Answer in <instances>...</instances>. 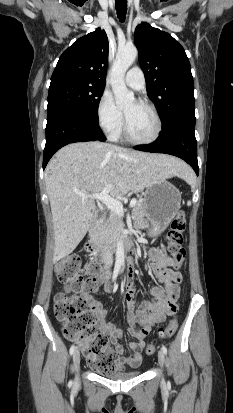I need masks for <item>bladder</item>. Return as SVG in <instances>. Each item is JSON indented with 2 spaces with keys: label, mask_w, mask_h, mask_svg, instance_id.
<instances>
[{
  "label": "bladder",
  "mask_w": 233,
  "mask_h": 413,
  "mask_svg": "<svg viewBox=\"0 0 233 413\" xmlns=\"http://www.w3.org/2000/svg\"><path fill=\"white\" fill-rule=\"evenodd\" d=\"M139 370L132 371H117L109 374H104V377L109 380H128L140 376Z\"/></svg>",
  "instance_id": "obj_1"
}]
</instances>
